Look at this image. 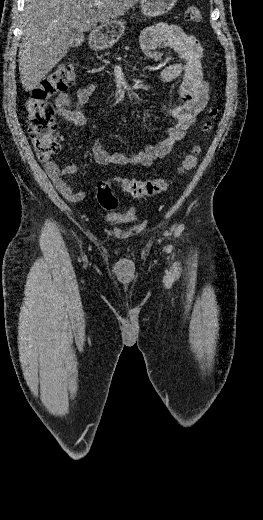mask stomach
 Wrapping results in <instances>:
<instances>
[{
    "mask_svg": "<svg viewBox=\"0 0 263 520\" xmlns=\"http://www.w3.org/2000/svg\"><path fill=\"white\" fill-rule=\"evenodd\" d=\"M177 0H141L140 7L144 16L152 18L170 11ZM124 23L114 20L95 28L90 34L89 44L95 50H105L114 45L123 35Z\"/></svg>",
    "mask_w": 263,
    "mask_h": 520,
    "instance_id": "stomach-1",
    "label": "stomach"
}]
</instances>
